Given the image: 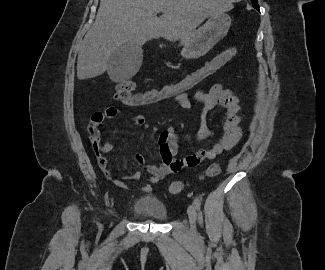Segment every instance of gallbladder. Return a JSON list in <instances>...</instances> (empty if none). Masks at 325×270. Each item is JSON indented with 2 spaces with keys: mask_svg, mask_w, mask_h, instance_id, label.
<instances>
[{
  "mask_svg": "<svg viewBox=\"0 0 325 270\" xmlns=\"http://www.w3.org/2000/svg\"><path fill=\"white\" fill-rule=\"evenodd\" d=\"M143 60V50L131 42L120 46L108 61L107 72L115 80L133 77L139 70Z\"/></svg>",
  "mask_w": 325,
  "mask_h": 270,
  "instance_id": "gallbladder-1",
  "label": "gallbladder"
}]
</instances>
